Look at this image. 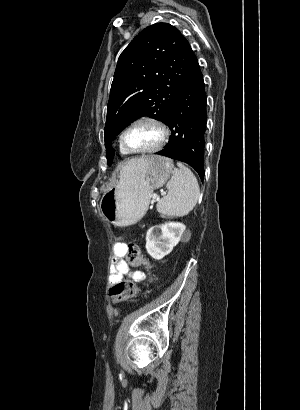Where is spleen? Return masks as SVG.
Listing matches in <instances>:
<instances>
[{"mask_svg":"<svg viewBox=\"0 0 300 410\" xmlns=\"http://www.w3.org/2000/svg\"><path fill=\"white\" fill-rule=\"evenodd\" d=\"M168 194L157 204L162 217L187 215L197 204L200 189L196 177L190 169L177 163L173 175L166 185Z\"/></svg>","mask_w":300,"mask_h":410,"instance_id":"3e777b00","label":"spleen"}]
</instances>
